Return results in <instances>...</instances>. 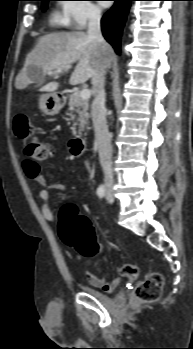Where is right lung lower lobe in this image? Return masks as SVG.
I'll return each mask as SVG.
<instances>
[{
	"mask_svg": "<svg viewBox=\"0 0 193 349\" xmlns=\"http://www.w3.org/2000/svg\"><path fill=\"white\" fill-rule=\"evenodd\" d=\"M113 7L102 18V32L105 39L113 46L116 53L120 52V38L131 1L114 0Z\"/></svg>",
	"mask_w": 193,
	"mask_h": 349,
	"instance_id": "1",
	"label": "right lung lower lobe"
}]
</instances>
